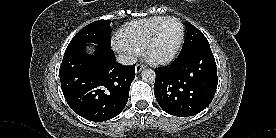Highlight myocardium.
Returning a JSON list of instances; mask_svg holds the SVG:
<instances>
[{
    "label": "myocardium",
    "mask_w": 276,
    "mask_h": 138,
    "mask_svg": "<svg viewBox=\"0 0 276 138\" xmlns=\"http://www.w3.org/2000/svg\"><path fill=\"white\" fill-rule=\"evenodd\" d=\"M169 20H175L180 25L181 31H180V36H179L178 42H177L176 46L174 47V49L169 54H167L165 56H153L152 49L155 45L158 34H159L161 28L163 27V25ZM184 39H185V28H184V25L181 22V20L174 16L165 17L159 24H157V26L152 31L144 49H143L144 58L149 63H151L153 65L167 64V63L171 62L177 56V54L179 53V51L183 45Z\"/></svg>",
    "instance_id": "obj_1"
}]
</instances>
